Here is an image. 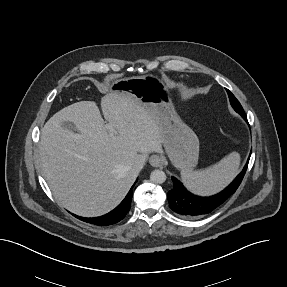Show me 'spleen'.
I'll return each instance as SVG.
<instances>
[{"instance_id":"spleen-1","label":"spleen","mask_w":287,"mask_h":287,"mask_svg":"<svg viewBox=\"0 0 287 287\" xmlns=\"http://www.w3.org/2000/svg\"><path fill=\"white\" fill-rule=\"evenodd\" d=\"M240 155L232 152L206 169L192 171L182 170L184 185L198 195H212L225 188L238 174Z\"/></svg>"}]
</instances>
